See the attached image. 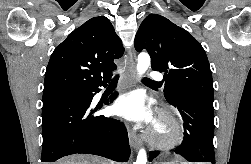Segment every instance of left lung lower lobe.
<instances>
[{"instance_id": "1", "label": "left lung lower lobe", "mask_w": 251, "mask_h": 164, "mask_svg": "<svg viewBox=\"0 0 251 164\" xmlns=\"http://www.w3.org/2000/svg\"><path fill=\"white\" fill-rule=\"evenodd\" d=\"M183 120L184 139L173 153L189 162H210L215 164L213 146L214 108L213 101L185 97L172 103ZM159 152H151L152 161Z\"/></svg>"}]
</instances>
